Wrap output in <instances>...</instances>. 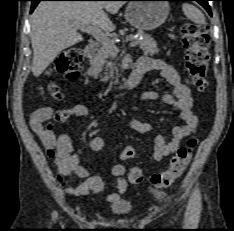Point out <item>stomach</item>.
Returning <instances> with one entry per match:
<instances>
[{
  "label": "stomach",
  "mask_w": 234,
  "mask_h": 231,
  "mask_svg": "<svg viewBox=\"0 0 234 231\" xmlns=\"http://www.w3.org/2000/svg\"><path fill=\"white\" fill-rule=\"evenodd\" d=\"M169 11L165 0H137L128 3L125 18L139 31H151L166 21Z\"/></svg>",
  "instance_id": "stomach-1"
}]
</instances>
